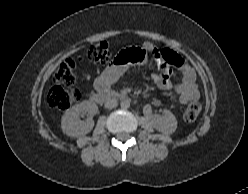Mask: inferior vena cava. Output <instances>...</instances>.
<instances>
[{
    "instance_id": "1",
    "label": "inferior vena cava",
    "mask_w": 248,
    "mask_h": 194,
    "mask_svg": "<svg viewBox=\"0 0 248 194\" xmlns=\"http://www.w3.org/2000/svg\"><path fill=\"white\" fill-rule=\"evenodd\" d=\"M118 103L115 99H107L105 101V108H108V109H113L115 107H117Z\"/></svg>"
}]
</instances>
